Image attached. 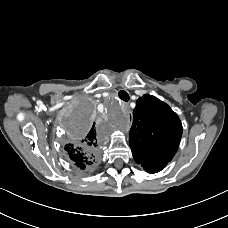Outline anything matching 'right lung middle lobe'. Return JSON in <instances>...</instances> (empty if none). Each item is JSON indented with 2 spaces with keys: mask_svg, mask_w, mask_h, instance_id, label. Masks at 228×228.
<instances>
[{
  "mask_svg": "<svg viewBox=\"0 0 228 228\" xmlns=\"http://www.w3.org/2000/svg\"><path fill=\"white\" fill-rule=\"evenodd\" d=\"M78 117L80 119V127L77 130L72 131V137L76 139H80L87 130L91 127L94 116L92 111L89 110L88 105L84 102L79 105L78 109ZM94 128V123L92 129Z\"/></svg>",
  "mask_w": 228,
  "mask_h": 228,
  "instance_id": "1",
  "label": "right lung middle lobe"
}]
</instances>
